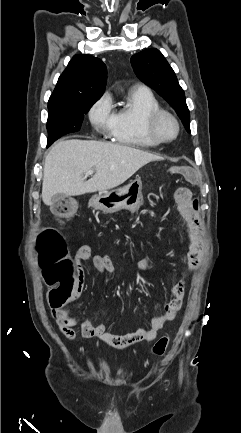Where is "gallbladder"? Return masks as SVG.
Instances as JSON below:
<instances>
[{
	"instance_id": "obj_1",
	"label": "gallbladder",
	"mask_w": 241,
	"mask_h": 433,
	"mask_svg": "<svg viewBox=\"0 0 241 433\" xmlns=\"http://www.w3.org/2000/svg\"><path fill=\"white\" fill-rule=\"evenodd\" d=\"M65 198H66V196L64 194H61V193L55 194L51 198V205H55L56 203L64 200ZM72 205H74L73 202H72Z\"/></svg>"
}]
</instances>
